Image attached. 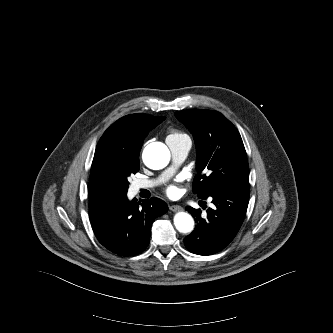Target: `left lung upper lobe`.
Masks as SVG:
<instances>
[{"instance_id": "obj_1", "label": "left lung upper lobe", "mask_w": 333, "mask_h": 333, "mask_svg": "<svg viewBox=\"0 0 333 333\" xmlns=\"http://www.w3.org/2000/svg\"><path fill=\"white\" fill-rule=\"evenodd\" d=\"M190 130L197 147L193 192L198 197L232 186L249 185V167L241 136L216 111L191 109L175 113Z\"/></svg>"}]
</instances>
